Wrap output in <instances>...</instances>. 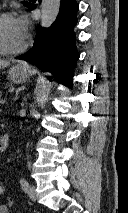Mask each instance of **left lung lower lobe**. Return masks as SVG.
Segmentation results:
<instances>
[{
	"instance_id": "obj_1",
	"label": "left lung lower lobe",
	"mask_w": 128,
	"mask_h": 213,
	"mask_svg": "<svg viewBox=\"0 0 128 213\" xmlns=\"http://www.w3.org/2000/svg\"><path fill=\"white\" fill-rule=\"evenodd\" d=\"M28 8L33 10L35 6L30 4ZM78 10L76 0H61L56 21L49 28L38 26L34 46L16 59L29 61L72 86L73 68L79 58L74 33Z\"/></svg>"
}]
</instances>
